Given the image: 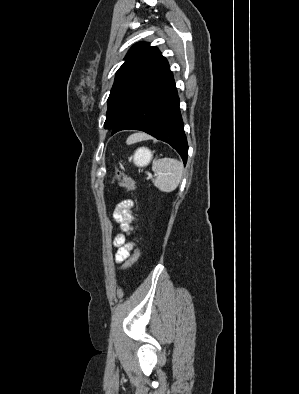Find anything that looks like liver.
<instances>
[{
	"label": "liver",
	"mask_w": 299,
	"mask_h": 394,
	"mask_svg": "<svg viewBox=\"0 0 299 394\" xmlns=\"http://www.w3.org/2000/svg\"><path fill=\"white\" fill-rule=\"evenodd\" d=\"M147 135L143 134V133H138L135 135H132L131 137L128 138L127 143L128 144H132L140 139L146 138Z\"/></svg>",
	"instance_id": "1"
}]
</instances>
